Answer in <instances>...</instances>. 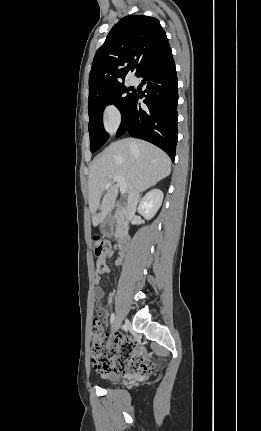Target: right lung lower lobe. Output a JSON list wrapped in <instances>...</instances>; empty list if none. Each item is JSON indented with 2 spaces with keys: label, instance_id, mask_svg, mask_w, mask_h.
Wrapping results in <instances>:
<instances>
[{
  "label": "right lung lower lobe",
  "instance_id": "1",
  "mask_svg": "<svg viewBox=\"0 0 261 431\" xmlns=\"http://www.w3.org/2000/svg\"><path fill=\"white\" fill-rule=\"evenodd\" d=\"M146 85L142 95L133 94L122 112L117 137L128 132L163 149L174 162L178 138V80L171 48L148 62L136 75ZM139 98H145L141 107Z\"/></svg>",
  "mask_w": 261,
  "mask_h": 431
}]
</instances>
